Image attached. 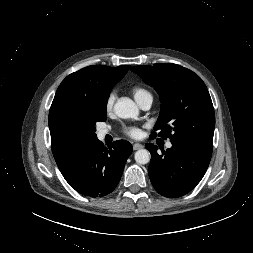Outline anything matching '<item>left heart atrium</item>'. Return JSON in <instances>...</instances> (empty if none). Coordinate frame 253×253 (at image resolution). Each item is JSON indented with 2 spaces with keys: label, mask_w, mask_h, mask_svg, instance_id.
<instances>
[{
  "label": "left heart atrium",
  "mask_w": 253,
  "mask_h": 253,
  "mask_svg": "<svg viewBox=\"0 0 253 253\" xmlns=\"http://www.w3.org/2000/svg\"><path fill=\"white\" fill-rule=\"evenodd\" d=\"M124 133L132 138H139L141 135V130L138 127H126Z\"/></svg>",
  "instance_id": "left-heart-atrium-1"
}]
</instances>
